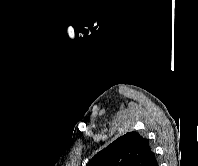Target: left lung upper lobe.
<instances>
[{
    "label": "left lung upper lobe",
    "mask_w": 198,
    "mask_h": 166,
    "mask_svg": "<svg viewBox=\"0 0 198 166\" xmlns=\"http://www.w3.org/2000/svg\"><path fill=\"white\" fill-rule=\"evenodd\" d=\"M155 160L149 141L129 132L98 152L86 166H151Z\"/></svg>",
    "instance_id": "5c2ea615"
}]
</instances>
